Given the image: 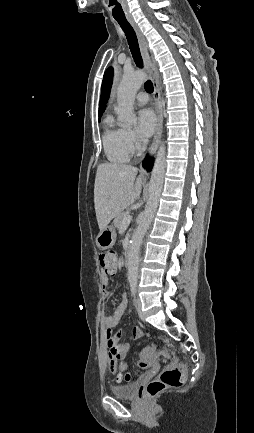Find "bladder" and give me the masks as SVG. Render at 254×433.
Wrapping results in <instances>:
<instances>
[{"label": "bladder", "instance_id": "bladder-1", "mask_svg": "<svg viewBox=\"0 0 254 433\" xmlns=\"http://www.w3.org/2000/svg\"><path fill=\"white\" fill-rule=\"evenodd\" d=\"M110 392L118 398L135 399L138 395V383L129 382L121 385H112Z\"/></svg>", "mask_w": 254, "mask_h": 433}]
</instances>
